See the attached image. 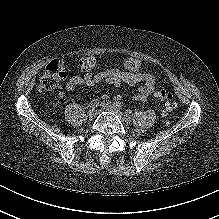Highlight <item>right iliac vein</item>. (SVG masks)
<instances>
[{
	"instance_id": "1",
	"label": "right iliac vein",
	"mask_w": 219,
	"mask_h": 219,
	"mask_svg": "<svg viewBox=\"0 0 219 219\" xmlns=\"http://www.w3.org/2000/svg\"><path fill=\"white\" fill-rule=\"evenodd\" d=\"M87 114H88V117L90 119H94L96 117V115H97V112L94 109H91V110L88 111Z\"/></svg>"
}]
</instances>
